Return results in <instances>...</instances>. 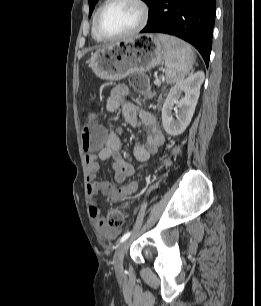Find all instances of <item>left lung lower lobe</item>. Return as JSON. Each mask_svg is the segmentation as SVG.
<instances>
[{"mask_svg": "<svg viewBox=\"0 0 261 306\" xmlns=\"http://www.w3.org/2000/svg\"><path fill=\"white\" fill-rule=\"evenodd\" d=\"M149 19L141 33L159 32L192 44L209 64L216 0H151Z\"/></svg>", "mask_w": 261, "mask_h": 306, "instance_id": "left-lung-lower-lobe-1", "label": "left lung lower lobe"}]
</instances>
